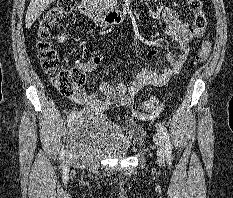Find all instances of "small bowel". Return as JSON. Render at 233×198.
Wrapping results in <instances>:
<instances>
[{"label":"small bowel","instance_id":"small-bowel-1","mask_svg":"<svg viewBox=\"0 0 233 198\" xmlns=\"http://www.w3.org/2000/svg\"><path fill=\"white\" fill-rule=\"evenodd\" d=\"M162 18L166 23L165 34L171 38L179 48L178 55L168 53L166 55L167 66L158 71L142 69L130 82H118L116 86L108 82L100 84L102 98L95 95H87L81 87H77L69 95V99L87 109L104 112L109 106L131 107L138 93L147 86H162L174 75L179 73L189 54V42L196 35L193 24L184 22L176 11L165 8ZM155 50H150L148 55L154 57ZM102 56L94 55L80 65L84 74H90L103 63Z\"/></svg>","mask_w":233,"mask_h":198}]
</instances>
